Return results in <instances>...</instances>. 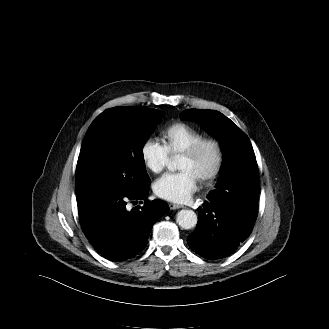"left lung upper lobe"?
I'll return each instance as SVG.
<instances>
[{
  "instance_id": "1",
  "label": "left lung upper lobe",
  "mask_w": 329,
  "mask_h": 329,
  "mask_svg": "<svg viewBox=\"0 0 329 329\" xmlns=\"http://www.w3.org/2000/svg\"><path fill=\"white\" fill-rule=\"evenodd\" d=\"M181 120L196 121L210 130L224 149V162L216 189L208 195L209 200H221L231 186L257 165L249 138L226 116L215 110L186 109Z\"/></svg>"
}]
</instances>
